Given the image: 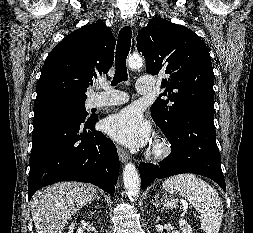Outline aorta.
<instances>
[{"instance_id": "1", "label": "aorta", "mask_w": 253, "mask_h": 233, "mask_svg": "<svg viewBox=\"0 0 253 233\" xmlns=\"http://www.w3.org/2000/svg\"><path fill=\"white\" fill-rule=\"evenodd\" d=\"M128 66L131 69H139L143 66V59L139 55H131L128 58ZM123 182L130 200L138 197L140 190V178L133 163H127L123 170Z\"/></svg>"}]
</instances>
